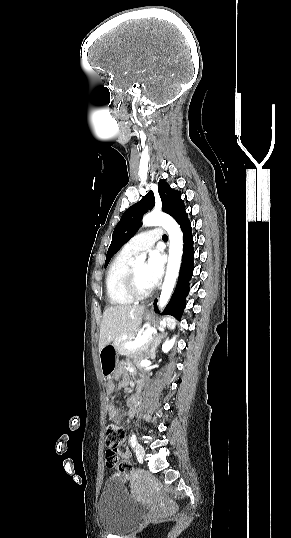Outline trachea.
<instances>
[{"label":"trachea","mask_w":291,"mask_h":538,"mask_svg":"<svg viewBox=\"0 0 291 538\" xmlns=\"http://www.w3.org/2000/svg\"><path fill=\"white\" fill-rule=\"evenodd\" d=\"M162 239H163V240H167V239H168V238H167V235H163V236H162Z\"/></svg>","instance_id":"trachea-1"}]
</instances>
